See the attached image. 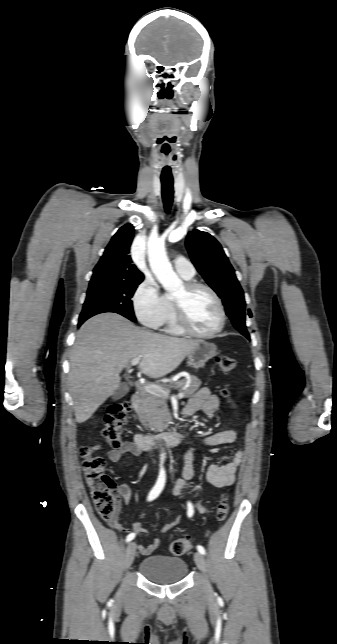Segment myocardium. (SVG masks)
<instances>
[{"label":"myocardium","instance_id":"myocardium-1","mask_svg":"<svg viewBox=\"0 0 337 644\" xmlns=\"http://www.w3.org/2000/svg\"><path fill=\"white\" fill-rule=\"evenodd\" d=\"M199 289H204V290L208 291L211 294V296L214 298V300H215V302L217 304L218 310H219V323H218L217 327L215 329H213L212 331L207 332V333H200V332H197V331L193 330L191 328V326H190V324H189V322L187 320V316H186L185 298L188 297L193 292L199 290ZM172 305H173L174 318H175L177 326L179 327V329L183 333H185V334H187V335H189L191 337L200 338V339H211V338L217 336L225 327L227 316H226V310H225L223 301H222L221 297L218 295V293L211 286H209V285H207L205 283L198 282V281H188L184 285V295H183V297L179 298V299L174 298L172 300Z\"/></svg>","mask_w":337,"mask_h":644}]
</instances>
